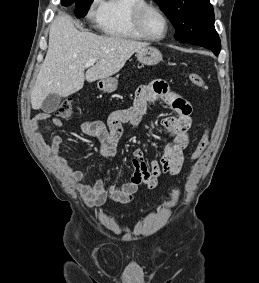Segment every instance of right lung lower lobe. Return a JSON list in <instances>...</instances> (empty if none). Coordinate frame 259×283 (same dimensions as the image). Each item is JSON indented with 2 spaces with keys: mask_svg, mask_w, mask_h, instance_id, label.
Returning <instances> with one entry per match:
<instances>
[{
  "mask_svg": "<svg viewBox=\"0 0 259 283\" xmlns=\"http://www.w3.org/2000/svg\"><path fill=\"white\" fill-rule=\"evenodd\" d=\"M72 3H73V1H71V0H61V4L64 5V6H68Z\"/></svg>",
  "mask_w": 259,
  "mask_h": 283,
  "instance_id": "1",
  "label": "right lung lower lobe"
}]
</instances>
